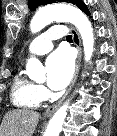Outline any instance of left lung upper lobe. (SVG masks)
Segmentation results:
<instances>
[{
  "label": "left lung upper lobe",
  "instance_id": "5c2ea615",
  "mask_svg": "<svg viewBox=\"0 0 117 136\" xmlns=\"http://www.w3.org/2000/svg\"><path fill=\"white\" fill-rule=\"evenodd\" d=\"M53 2H54V0H28V6L31 10H35L41 4L45 5V4H50V3H53ZM64 2L76 4L87 15L90 14V12L87 9V6L81 0H64Z\"/></svg>",
  "mask_w": 117,
  "mask_h": 136
}]
</instances>
